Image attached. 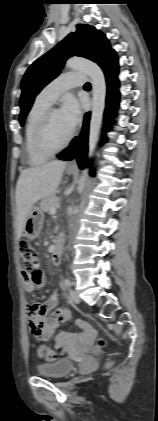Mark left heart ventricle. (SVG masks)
<instances>
[{
  "instance_id": "left-heart-ventricle-1",
  "label": "left heart ventricle",
  "mask_w": 158,
  "mask_h": 421,
  "mask_svg": "<svg viewBox=\"0 0 158 421\" xmlns=\"http://www.w3.org/2000/svg\"><path fill=\"white\" fill-rule=\"evenodd\" d=\"M70 128L65 124L60 112L52 113L48 127V141L52 146L62 144L70 134Z\"/></svg>"
}]
</instances>
